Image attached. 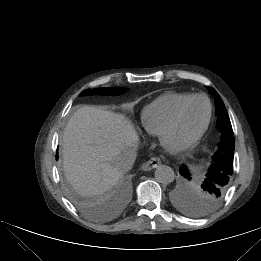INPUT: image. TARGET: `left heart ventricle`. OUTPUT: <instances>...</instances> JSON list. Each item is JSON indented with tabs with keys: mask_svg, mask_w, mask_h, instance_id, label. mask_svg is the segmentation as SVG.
<instances>
[{
	"mask_svg": "<svg viewBox=\"0 0 261 261\" xmlns=\"http://www.w3.org/2000/svg\"><path fill=\"white\" fill-rule=\"evenodd\" d=\"M207 115V104L204 99L192 100L183 109L178 124L171 133L169 140L171 143H181L192 136L203 125Z\"/></svg>",
	"mask_w": 261,
	"mask_h": 261,
	"instance_id": "b2bd125f",
	"label": "left heart ventricle"
}]
</instances>
